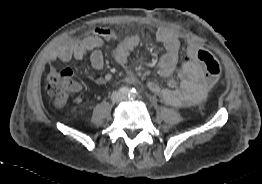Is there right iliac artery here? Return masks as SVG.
Masks as SVG:
<instances>
[{
  "instance_id": "1",
  "label": "right iliac artery",
  "mask_w": 262,
  "mask_h": 184,
  "mask_svg": "<svg viewBox=\"0 0 262 184\" xmlns=\"http://www.w3.org/2000/svg\"><path fill=\"white\" fill-rule=\"evenodd\" d=\"M133 91V89H130V88H128V87H121L120 89H119V92L121 93V94H123V95H130V93Z\"/></svg>"
}]
</instances>
